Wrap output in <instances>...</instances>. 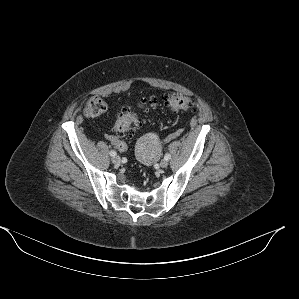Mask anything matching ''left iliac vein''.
I'll return each instance as SVG.
<instances>
[{
  "instance_id": "left-iliac-vein-1",
  "label": "left iliac vein",
  "mask_w": 299,
  "mask_h": 299,
  "mask_svg": "<svg viewBox=\"0 0 299 299\" xmlns=\"http://www.w3.org/2000/svg\"><path fill=\"white\" fill-rule=\"evenodd\" d=\"M168 161L167 160H165V159H163L161 162H160V167H162V168H166L167 166H168Z\"/></svg>"
}]
</instances>
